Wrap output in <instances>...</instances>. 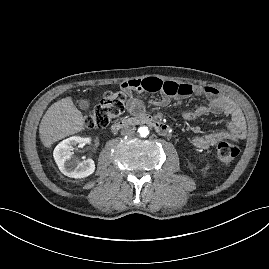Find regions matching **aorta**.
<instances>
[{
	"label": "aorta",
	"mask_w": 269,
	"mask_h": 269,
	"mask_svg": "<svg viewBox=\"0 0 269 269\" xmlns=\"http://www.w3.org/2000/svg\"><path fill=\"white\" fill-rule=\"evenodd\" d=\"M138 133L141 137H147L149 135V129L146 126L139 127Z\"/></svg>",
	"instance_id": "obj_1"
}]
</instances>
